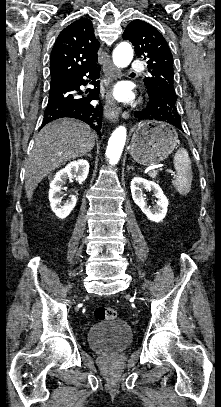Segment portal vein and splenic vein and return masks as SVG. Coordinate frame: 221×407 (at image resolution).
Wrapping results in <instances>:
<instances>
[{
    "instance_id": "portal-vein-and-splenic-vein-1",
    "label": "portal vein and splenic vein",
    "mask_w": 221,
    "mask_h": 407,
    "mask_svg": "<svg viewBox=\"0 0 221 407\" xmlns=\"http://www.w3.org/2000/svg\"><path fill=\"white\" fill-rule=\"evenodd\" d=\"M166 172V173H169V174H171V175H174V172H173V170H171V169H164L162 166H158L157 167V171H153V174H156L157 172Z\"/></svg>"
}]
</instances>
